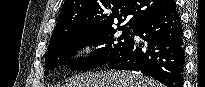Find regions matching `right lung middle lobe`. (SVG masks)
<instances>
[{"mask_svg":"<svg viewBox=\"0 0 205 87\" xmlns=\"http://www.w3.org/2000/svg\"><path fill=\"white\" fill-rule=\"evenodd\" d=\"M130 29L105 28L78 32L49 44L45 56V74L48 75L50 70L62 64L73 70H89L106 64L128 43L133 33ZM117 30H122V34L118 35ZM88 45L104 46L95 50L88 58L70 59L77 50ZM66 60H69L68 63Z\"/></svg>","mask_w":205,"mask_h":87,"instance_id":"right-lung-middle-lobe-1","label":"right lung middle lobe"}]
</instances>
